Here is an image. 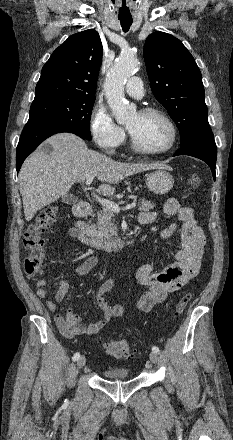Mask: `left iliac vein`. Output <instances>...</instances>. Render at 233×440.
Returning a JSON list of instances; mask_svg holds the SVG:
<instances>
[{"mask_svg": "<svg viewBox=\"0 0 233 440\" xmlns=\"http://www.w3.org/2000/svg\"><path fill=\"white\" fill-rule=\"evenodd\" d=\"M149 358H150L152 363H157L158 362V355L155 352H151L150 355H149Z\"/></svg>", "mask_w": 233, "mask_h": 440, "instance_id": "obj_1", "label": "left iliac vein"}]
</instances>
